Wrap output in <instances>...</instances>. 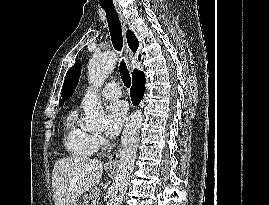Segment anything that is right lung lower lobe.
<instances>
[{
	"label": "right lung lower lobe",
	"mask_w": 269,
	"mask_h": 205,
	"mask_svg": "<svg viewBox=\"0 0 269 205\" xmlns=\"http://www.w3.org/2000/svg\"><path fill=\"white\" fill-rule=\"evenodd\" d=\"M132 88L130 90V96L133 105L137 106L145 91V76L142 71H137L132 74Z\"/></svg>",
	"instance_id": "obj_1"
}]
</instances>
